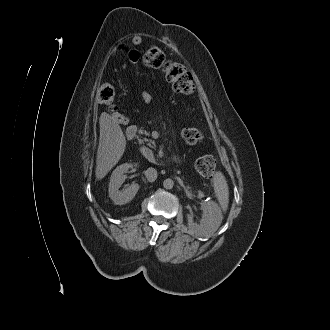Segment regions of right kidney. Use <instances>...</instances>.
I'll return each instance as SVG.
<instances>
[{
	"mask_svg": "<svg viewBox=\"0 0 330 330\" xmlns=\"http://www.w3.org/2000/svg\"><path fill=\"white\" fill-rule=\"evenodd\" d=\"M132 166V164L124 163L120 166H117L116 169L112 172L108 191L110 199L116 205H124L129 203L139 190V184L137 183L131 184L124 190H119L126 179V175H124V173H127L128 169Z\"/></svg>",
	"mask_w": 330,
	"mask_h": 330,
	"instance_id": "ca27d5eb",
	"label": "right kidney"
}]
</instances>
